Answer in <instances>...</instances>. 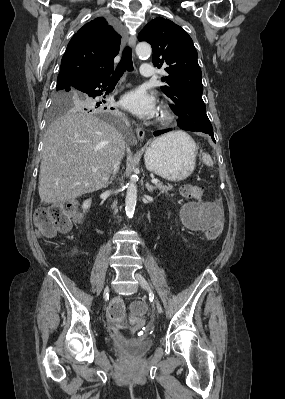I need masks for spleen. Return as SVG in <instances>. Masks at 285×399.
<instances>
[{
    "instance_id": "3e777b00",
    "label": "spleen",
    "mask_w": 285,
    "mask_h": 399,
    "mask_svg": "<svg viewBox=\"0 0 285 399\" xmlns=\"http://www.w3.org/2000/svg\"><path fill=\"white\" fill-rule=\"evenodd\" d=\"M202 160H203V163L206 164L207 166H213V161L209 154L202 153Z\"/></svg>"
}]
</instances>
